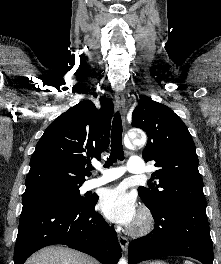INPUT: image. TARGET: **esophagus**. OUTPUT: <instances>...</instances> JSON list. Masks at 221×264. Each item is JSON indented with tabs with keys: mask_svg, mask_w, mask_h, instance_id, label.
<instances>
[{
	"mask_svg": "<svg viewBox=\"0 0 221 264\" xmlns=\"http://www.w3.org/2000/svg\"><path fill=\"white\" fill-rule=\"evenodd\" d=\"M115 102H116V105L118 107V109L120 110L121 112V116H122V121L123 123H125V113H126V108H125V97H124V94L121 92V91H117L115 93ZM118 241H119V244L122 248V250H126L128 245H129V240L127 237L119 234L118 235Z\"/></svg>",
	"mask_w": 221,
	"mask_h": 264,
	"instance_id": "esophagus-1",
	"label": "esophagus"
}]
</instances>
